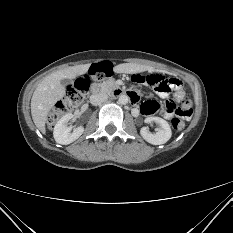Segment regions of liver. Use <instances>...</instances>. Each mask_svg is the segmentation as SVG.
<instances>
[{
	"label": "liver",
	"instance_id": "1",
	"mask_svg": "<svg viewBox=\"0 0 233 233\" xmlns=\"http://www.w3.org/2000/svg\"><path fill=\"white\" fill-rule=\"evenodd\" d=\"M90 64L72 66L46 76L36 87L31 99V115L36 127L45 133V122L49 111L65 95L62 79H75L86 73ZM115 73H140L151 70V67L135 63H123L113 68Z\"/></svg>",
	"mask_w": 233,
	"mask_h": 233
}]
</instances>
